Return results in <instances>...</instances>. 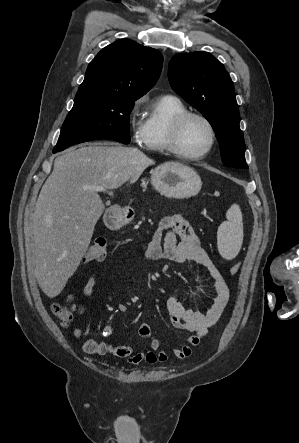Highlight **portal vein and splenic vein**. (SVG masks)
<instances>
[{
	"instance_id": "18ae733b",
	"label": "portal vein and splenic vein",
	"mask_w": 299,
	"mask_h": 443,
	"mask_svg": "<svg viewBox=\"0 0 299 443\" xmlns=\"http://www.w3.org/2000/svg\"><path fill=\"white\" fill-rule=\"evenodd\" d=\"M85 188L92 189V190H95V191H101V192L105 191V189L101 188V187H89V186H87Z\"/></svg>"
}]
</instances>
